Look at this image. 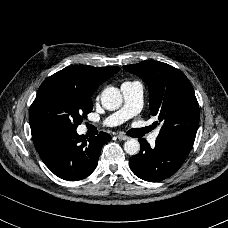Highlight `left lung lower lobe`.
Instances as JSON below:
<instances>
[{
	"label": "left lung lower lobe",
	"instance_id": "obj_1",
	"mask_svg": "<svg viewBox=\"0 0 228 228\" xmlns=\"http://www.w3.org/2000/svg\"><path fill=\"white\" fill-rule=\"evenodd\" d=\"M139 142L140 152L130 158L129 166L137 177L149 182H159L172 176L192 149L183 143L158 138L154 147L143 138Z\"/></svg>",
	"mask_w": 228,
	"mask_h": 228
}]
</instances>
